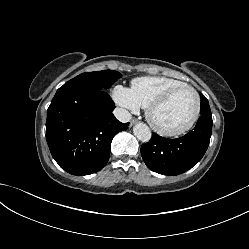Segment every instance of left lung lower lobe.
Returning a JSON list of instances; mask_svg holds the SVG:
<instances>
[{"label":"left lung lower lobe","instance_id":"left-lung-lower-lobe-1","mask_svg":"<svg viewBox=\"0 0 249 249\" xmlns=\"http://www.w3.org/2000/svg\"><path fill=\"white\" fill-rule=\"evenodd\" d=\"M212 115L201 114L195 128L186 135L169 139L152 133L141 146L147 167L159 174L174 176L191 169L205 154L211 137Z\"/></svg>","mask_w":249,"mask_h":249}]
</instances>
